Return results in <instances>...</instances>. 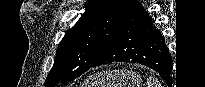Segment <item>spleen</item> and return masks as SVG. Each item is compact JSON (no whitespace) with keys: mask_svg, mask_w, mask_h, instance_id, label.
Masks as SVG:
<instances>
[{"mask_svg":"<svg viewBox=\"0 0 205 87\" xmlns=\"http://www.w3.org/2000/svg\"><path fill=\"white\" fill-rule=\"evenodd\" d=\"M147 87H161V84L156 78L150 76L147 79Z\"/></svg>","mask_w":205,"mask_h":87,"instance_id":"obj_1","label":"spleen"}]
</instances>
